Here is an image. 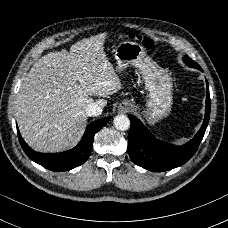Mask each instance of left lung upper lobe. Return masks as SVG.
<instances>
[{
    "label": "left lung upper lobe",
    "instance_id": "left-lung-upper-lobe-1",
    "mask_svg": "<svg viewBox=\"0 0 228 228\" xmlns=\"http://www.w3.org/2000/svg\"><path fill=\"white\" fill-rule=\"evenodd\" d=\"M184 62L186 63V65H188V66H190V67H195V68H197V69H201L200 68V66L197 64V63H195L190 57H188V56H186L185 58H184Z\"/></svg>",
    "mask_w": 228,
    "mask_h": 228
}]
</instances>
